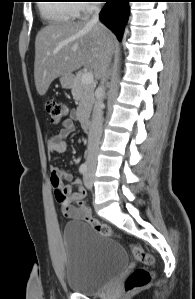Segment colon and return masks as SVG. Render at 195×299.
I'll return each mask as SVG.
<instances>
[{"label":"colon","mask_w":195,"mask_h":299,"mask_svg":"<svg viewBox=\"0 0 195 299\" xmlns=\"http://www.w3.org/2000/svg\"><path fill=\"white\" fill-rule=\"evenodd\" d=\"M45 107L51 118V122L54 124L63 121L68 115V106L64 102L49 100L46 102ZM53 188L58 203L64 204L69 201L68 194L59 184V180L56 181ZM75 204L80 218L87 222L99 234L106 237L116 236L108 225L102 223L90 213L87 206L82 201H77ZM131 250L134 258L142 263L144 267L135 269L125 280L124 290L128 294L146 287L152 281V274L147 267L152 266L155 262L154 256L140 246L132 245Z\"/></svg>","instance_id":"1"}]
</instances>
